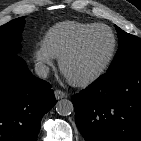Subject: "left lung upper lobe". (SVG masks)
Masks as SVG:
<instances>
[{
  "label": "left lung upper lobe",
  "mask_w": 141,
  "mask_h": 141,
  "mask_svg": "<svg viewBox=\"0 0 141 141\" xmlns=\"http://www.w3.org/2000/svg\"><path fill=\"white\" fill-rule=\"evenodd\" d=\"M119 37L118 51L107 72L133 63H141V39L115 26Z\"/></svg>",
  "instance_id": "obj_1"
}]
</instances>
